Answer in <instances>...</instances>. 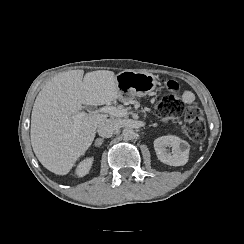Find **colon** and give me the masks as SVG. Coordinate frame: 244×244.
I'll use <instances>...</instances> for the list:
<instances>
[{"instance_id":"1","label":"colon","mask_w":244,"mask_h":244,"mask_svg":"<svg viewBox=\"0 0 244 244\" xmlns=\"http://www.w3.org/2000/svg\"><path fill=\"white\" fill-rule=\"evenodd\" d=\"M162 85L165 89L159 93L156 107L160 120L172 119V124L177 126L184 117L188 137L194 142H202L206 136V124L201 108L197 104L186 105L175 81H166Z\"/></svg>"}]
</instances>
